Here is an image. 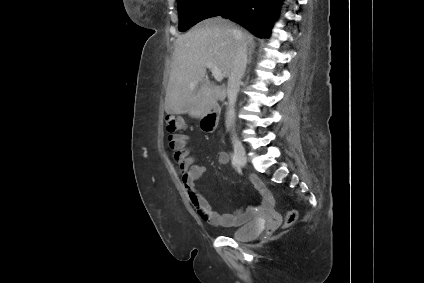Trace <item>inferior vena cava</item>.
Masks as SVG:
<instances>
[{"label": "inferior vena cava", "instance_id": "602c4592", "mask_svg": "<svg viewBox=\"0 0 424 283\" xmlns=\"http://www.w3.org/2000/svg\"><path fill=\"white\" fill-rule=\"evenodd\" d=\"M237 34L240 31L236 30ZM247 64V47L243 39L237 46L235 56L232 60L231 72L227 85L228 107H227V127L234 123L235 119V103L239 91L241 79L245 73Z\"/></svg>", "mask_w": 424, "mask_h": 283}]
</instances>
